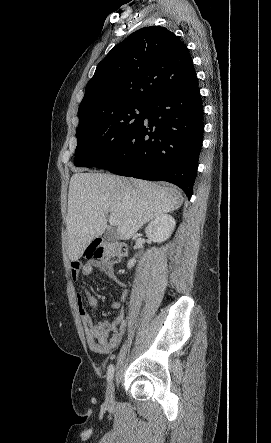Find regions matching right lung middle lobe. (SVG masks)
Listing matches in <instances>:
<instances>
[{
	"label": "right lung middle lobe",
	"instance_id": "obj_1",
	"mask_svg": "<svg viewBox=\"0 0 271 443\" xmlns=\"http://www.w3.org/2000/svg\"><path fill=\"white\" fill-rule=\"evenodd\" d=\"M148 105L124 103L97 117L79 119L75 166L99 167L107 161L143 121Z\"/></svg>",
	"mask_w": 271,
	"mask_h": 443
}]
</instances>
